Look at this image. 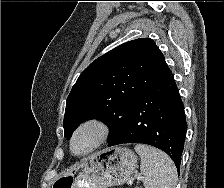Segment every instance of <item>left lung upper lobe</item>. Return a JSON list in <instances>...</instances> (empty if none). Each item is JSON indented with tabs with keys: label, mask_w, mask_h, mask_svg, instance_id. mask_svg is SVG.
I'll list each match as a JSON object with an SVG mask.
<instances>
[{
	"label": "left lung upper lobe",
	"mask_w": 224,
	"mask_h": 188,
	"mask_svg": "<svg viewBox=\"0 0 224 188\" xmlns=\"http://www.w3.org/2000/svg\"><path fill=\"white\" fill-rule=\"evenodd\" d=\"M169 71L149 38L126 42L97 58L81 73L67 98L64 136L70 138L85 120L101 119L110 128L111 139L140 94Z\"/></svg>",
	"instance_id": "left-lung-upper-lobe-1"
}]
</instances>
